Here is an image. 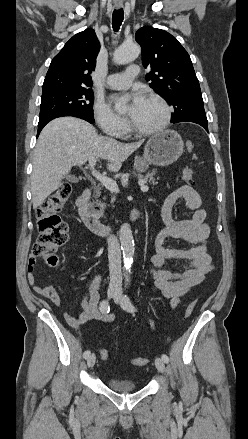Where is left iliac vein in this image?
<instances>
[{"label":"left iliac vein","mask_w":248,"mask_h":439,"mask_svg":"<svg viewBox=\"0 0 248 439\" xmlns=\"http://www.w3.org/2000/svg\"><path fill=\"white\" fill-rule=\"evenodd\" d=\"M114 301L118 304L123 303V296L121 293H117V295L114 297ZM155 366L157 368V370L161 373H163L165 371V362L162 360V358H155Z\"/></svg>","instance_id":"4c4485c4"}]
</instances>
